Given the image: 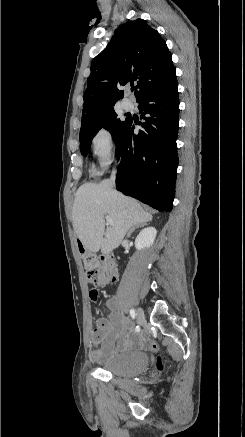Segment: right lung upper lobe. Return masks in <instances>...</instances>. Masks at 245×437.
Wrapping results in <instances>:
<instances>
[{
    "mask_svg": "<svg viewBox=\"0 0 245 437\" xmlns=\"http://www.w3.org/2000/svg\"><path fill=\"white\" fill-rule=\"evenodd\" d=\"M136 83V100L177 83L176 69L166 42L146 20L117 28L112 40L91 63L84 93L82 126L114 108L124 92L117 86Z\"/></svg>",
    "mask_w": 245,
    "mask_h": 437,
    "instance_id": "1",
    "label": "right lung upper lobe"
}]
</instances>
